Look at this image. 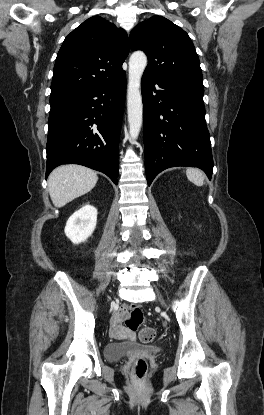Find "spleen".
Wrapping results in <instances>:
<instances>
[{
  "mask_svg": "<svg viewBox=\"0 0 264 415\" xmlns=\"http://www.w3.org/2000/svg\"><path fill=\"white\" fill-rule=\"evenodd\" d=\"M187 178L197 186H202L204 184V175L203 173L195 168H188L186 170Z\"/></svg>",
  "mask_w": 264,
  "mask_h": 415,
  "instance_id": "obj_1",
  "label": "spleen"
}]
</instances>
